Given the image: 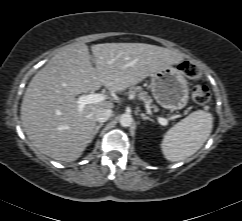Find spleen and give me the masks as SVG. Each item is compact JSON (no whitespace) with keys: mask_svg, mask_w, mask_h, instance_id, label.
I'll list each match as a JSON object with an SVG mask.
<instances>
[{"mask_svg":"<svg viewBox=\"0 0 242 221\" xmlns=\"http://www.w3.org/2000/svg\"><path fill=\"white\" fill-rule=\"evenodd\" d=\"M213 118L198 110L171 127L164 135L161 149L168 161L178 162L195 154L212 131Z\"/></svg>","mask_w":242,"mask_h":221,"instance_id":"spleen-1","label":"spleen"}]
</instances>
